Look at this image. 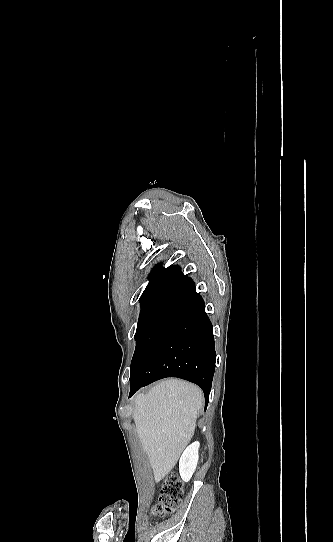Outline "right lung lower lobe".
I'll return each instance as SVG.
<instances>
[{
	"label": "right lung lower lobe",
	"instance_id": "obj_1",
	"mask_svg": "<svg viewBox=\"0 0 333 542\" xmlns=\"http://www.w3.org/2000/svg\"><path fill=\"white\" fill-rule=\"evenodd\" d=\"M135 350L129 397L156 380L178 377L197 384L207 406L216 363L213 326L190 277L155 306Z\"/></svg>",
	"mask_w": 333,
	"mask_h": 542
}]
</instances>
